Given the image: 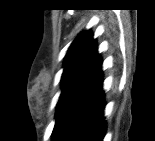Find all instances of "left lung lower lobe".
Returning <instances> with one entry per match:
<instances>
[{"instance_id": "1", "label": "left lung lower lobe", "mask_w": 155, "mask_h": 141, "mask_svg": "<svg viewBox=\"0 0 155 141\" xmlns=\"http://www.w3.org/2000/svg\"><path fill=\"white\" fill-rule=\"evenodd\" d=\"M102 64L66 113L57 141H103L105 98Z\"/></svg>"}]
</instances>
